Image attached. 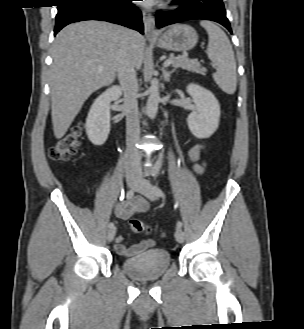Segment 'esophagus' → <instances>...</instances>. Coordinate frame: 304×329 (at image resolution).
Returning <instances> with one entry per match:
<instances>
[{
	"label": "esophagus",
	"instance_id": "1",
	"mask_svg": "<svg viewBox=\"0 0 304 329\" xmlns=\"http://www.w3.org/2000/svg\"><path fill=\"white\" fill-rule=\"evenodd\" d=\"M143 23H144V31L147 37H153L156 35L155 30V19L152 14L147 11H143Z\"/></svg>",
	"mask_w": 304,
	"mask_h": 329
}]
</instances>
